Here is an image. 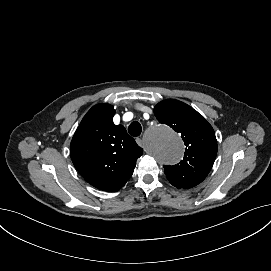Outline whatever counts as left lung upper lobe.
Masks as SVG:
<instances>
[{
    "instance_id": "5c2ea615",
    "label": "left lung upper lobe",
    "mask_w": 271,
    "mask_h": 271,
    "mask_svg": "<svg viewBox=\"0 0 271 271\" xmlns=\"http://www.w3.org/2000/svg\"><path fill=\"white\" fill-rule=\"evenodd\" d=\"M157 120L170 126L186 146L183 160L177 165H164L169 182L182 189L201 183L210 172L217 155V140L212 126L192 107L173 99L154 108Z\"/></svg>"
}]
</instances>
